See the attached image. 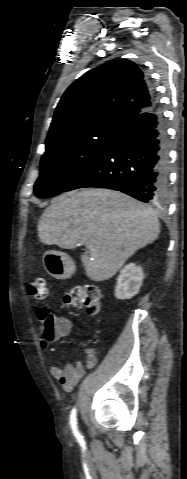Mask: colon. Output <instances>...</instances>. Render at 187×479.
I'll list each match as a JSON object with an SVG mask.
<instances>
[{"instance_id":"1","label":"colon","mask_w":187,"mask_h":479,"mask_svg":"<svg viewBox=\"0 0 187 479\" xmlns=\"http://www.w3.org/2000/svg\"><path fill=\"white\" fill-rule=\"evenodd\" d=\"M27 292L36 299H45L48 296L45 278L37 276L29 281ZM64 302L69 307L85 309L89 315L94 316L101 309V293L95 285H75L66 290ZM37 318L41 323V335L44 339L53 341L61 337L63 325L51 312L39 309Z\"/></svg>"}]
</instances>
